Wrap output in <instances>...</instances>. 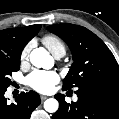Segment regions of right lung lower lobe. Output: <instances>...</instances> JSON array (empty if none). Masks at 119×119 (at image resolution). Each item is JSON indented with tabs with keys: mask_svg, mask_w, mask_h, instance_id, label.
Returning <instances> with one entry per match:
<instances>
[{
	"mask_svg": "<svg viewBox=\"0 0 119 119\" xmlns=\"http://www.w3.org/2000/svg\"><path fill=\"white\" fill-rule=\"evenodd\" d=\"M6 89L0 90V119H30L32 111L40 104L39 94L34 91L21 92L16 103L7 104Z\"/></svg>",
	"mask_w": 119,
	"mask_h": 119,
	"instance_id": "1",
	"label": "right lung lower lobe"
}]
</instances>
